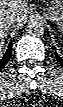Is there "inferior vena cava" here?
<instances>
[{
	"instance_id": "inferior-vena-cava-1",
	"label": "inferior vena cava",
	"mask_w": 63,
	"mask_h": 107,
	"mask_svg": "<svg viewBox=\"0 0 63 107\" xmlns=\"http://www.w3.org/2000/svg\"><path fill=\"white\" fill-rule=\"evenodd\" d=\"M17 18L14 15H7L0 17V28L3 30H9L14 27Z\"/></svg>"
}]
</instances>
